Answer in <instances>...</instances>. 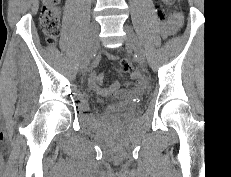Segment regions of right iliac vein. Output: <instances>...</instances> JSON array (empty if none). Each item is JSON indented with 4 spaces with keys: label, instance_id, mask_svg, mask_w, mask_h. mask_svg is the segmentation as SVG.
<instances>
[{
    "label": "right iliac vein",
    "instance_id": "1",
    "mask_svg": "<svg viewBox=\"0 0 231 177\" xmlns=\"http://www.w3.org/2000/svg\"><path fill=\"white\" fill-rule=\"evenodd\" d=\"M98 32H99V25L95 21H93L90 25L88 39L86 41L85 48H84L82 64H81L83 71H87L88 66L90 64L92 53L96 47Z\"/></svg>",
    "mask_w": 231,
    "mask_h": 177
}]
</instances>
